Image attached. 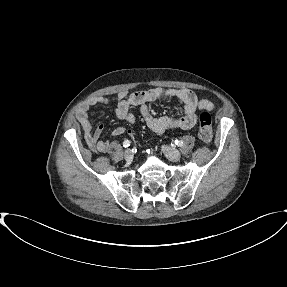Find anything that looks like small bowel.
<instances>
[{"label": "small bowel", "mask_w": 287, "mask_h": 287, "mask_svg": "<svg viewBox=\"0 0 287 287\" xmlns=\"http://www.w3.org/2000/svg\"><path fill=\"white\" fill-rule=\"evenodd\" d=\"M170 98H176L182 105V115L178 117L152 115L147 107V104L154 101H165ZM116 104L115 116L120 121L133 123L135 121L134 115L130 108L137 106L140 113L145 120L148 128L155 134H163L170 130H188L196 126L197 116L199 110H213L212 102L208 100H199L197 96L188 89H163L153 88L141 90L133 93L121 92L112 99ZM110 100L104 96L92 97L85 104H83L76 113V118L80 123L85 140L94 153L105 152L109 149L110 142L108 140H100L103 132V125H98L93 129L92 123L89 119L88 111L91 107L98 104H108ZM124 133L132 134V131L124 127H117L113 129L112 135L118 136Z\"/></svg>", "instance_id": "obj_1"}]
</instances>
